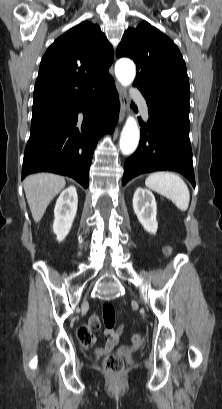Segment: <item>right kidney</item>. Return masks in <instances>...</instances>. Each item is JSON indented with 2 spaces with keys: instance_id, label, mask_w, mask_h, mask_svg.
<instances>
[{
  "instance_id": "ca27d5eb",
  "label": "right kidney",
  "mask_w": 222,
  "mask_h": 409,
  "mask_svg": "<svg viewBox=\"0 0 222 409\" xmlns=\"http://www.w3.org/2000/svg\"><path fill=\"white\" fill-rule=\"evenodd\" d=\"M78 206L77 191L74 186H69L60 194L54 209L53 231L59 242L68 235Z\"/></svg>"
}]
</instances>
